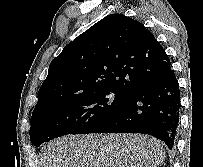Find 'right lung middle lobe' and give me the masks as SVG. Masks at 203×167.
I'll return each instance as SVG.
<instances>
[{
    "mask_svg": "<svg viewBox=\"0 0 203 167\" xmlns=\"http://www.w3.org/2000/svg\"><path fill=\"white\" fill-rule=\"evenodd\" d=\"M125 95L100 91L56 101L33 111L30 140L42 143L67 134L92 133L125 102Z\"/></svg>",
    "mask_w": 203,
    "mask_h": 167,
    "instance_id": "right-lung-middle-lobe-1",
    "label": "right lung middle lobe"
}]
</instances>
